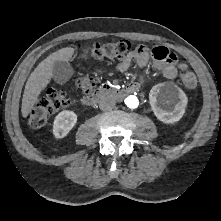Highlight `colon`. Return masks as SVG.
<instances>
[{"mask_svg": "<svg viewBox=\"0 0 221 221\" xmlns=\"http://www.w3.org/2000/svg\"><path fill=\"white\" fill-rule=\"evenodd\" d=\"M131 44L127 40H120L110 43H95L89 49L85 56H91L97 59L115 60L124 59L130 52ZM180 79L182 84L188 89H194L197 86V78L190 70H182ZM77 86L85 93H90L95 86V79L92 76H81L77 80ZM70 104L66 93L59 90H49L42 95L33 107L29 123L33 128H41L48 122L52 113L64 108Z\"/></svg>", "mask_w": 221, "mask_h": 221, "instance_id": "5ec220e1", "label": "colon"}]
</instances>
